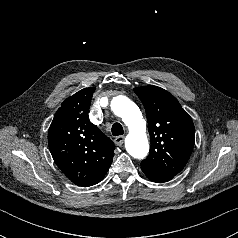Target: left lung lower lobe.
I'll return each instance as SVG.
<instances>
[{
    "instance_id": "0a47b994",
    "label": "left lung lower lobe",
    "mask_w": 238,
    "mask_h": 238,
    "mask_svg": "<svg viewBox=\"0 0 238 238\" xmlns=\"http://www.w3.org/2000/svg\"><path fill=\"white\" fill-rule=\"evenodd\" d=\"M141 169L151 181H154L156 183L168 182L175 176L171 174L156 172L143 165H141Z\"/></svg>"
}]
</instances>
